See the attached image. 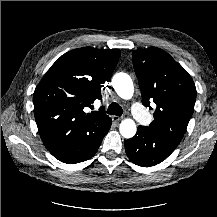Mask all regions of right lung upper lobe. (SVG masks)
I'll use <instances>...</instances> for the list:
<instances>
[{"label":"right lung upper lobe","instance_id":"obj_1","mask_svg":"<svg viewBox=\"0 0 217 217\" xmlns=\"http://www.w3.org/2000/svg\"><path fill=\"white\" fill-rule=\"evenodd\" d=\"M120 50L83 47L62 55L44 75L33 95L41 139L51 152L78 145L98 125L111 120L104 112L85 113L119 60Z\"/></svg>","mask_w":217,"mask_h":217}]
</instances>
